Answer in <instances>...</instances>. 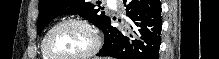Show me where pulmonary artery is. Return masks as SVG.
Wrapping results in <instances>:
<instances>
[{
    "label": "pulmonary artery",
    "instance_id": "obj_1",
    "mask_svg": "<svg viewBox=\"0 0 219 59\" xmlns=\"http://www.w3.org/2000/svg\"><path fill=\"white\" fill-rule=\"evenodd\" d=\"M108 6L113 10H118L120 1H107Z\"/></svg>",
    "mask_w": 219,
    "mask_h": 59
}]
</instances>
